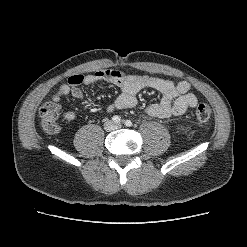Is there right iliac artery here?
<instances>
[{"label": "right iliac artery", "instance_id": "1", "mask_svg": "<svg viewBox=\"0 0 247 247\" xmlns=\"http://www.w3.org/2000/svg\"><path fill=\"white\" fill-rule=\"evenodd\" d=\"M113 122L119 123L121 121V118L118 115H115L112 117Z\"/></svg>", "mask_w": 247, "mask_h": 247}]
</instances>
